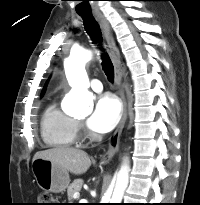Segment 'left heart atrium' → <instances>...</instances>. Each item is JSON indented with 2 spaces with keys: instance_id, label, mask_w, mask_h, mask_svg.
<instances>
[{
  "instance_id": "1",
  "label": "left heart atrium",
  "mask_w": 200,
  "mask_h": 205,
  "mask_svg": "<svg viewBox=\"0 0 200 205\" xmlns=\"http://www.w3.org/2000/svg\"><path fill=\"white\" fill-rule=\"evenodd\" d=\"M120 115L121 107L117 99L110 94L102 95L96 101L88 126L98 133L109 132L118 123Z\"/></svg>"
}]
</instances>
